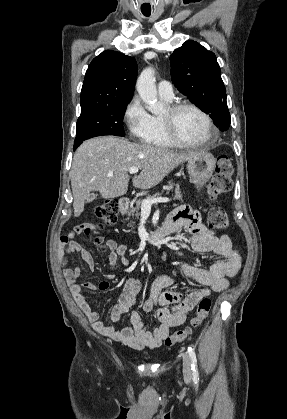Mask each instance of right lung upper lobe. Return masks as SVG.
Listing matches in <instances>:
<instances>
[{"label":"right lung upper lobe","instance_id":"cb5924a9","mask_svg":"<svg viewBox=\"0 0 287 419\" xmlns=\"http://www.w3.org/2000/svg\"><path fill=\"white\" fill-rule=\"evenodd\" d=\"M133 57L104 51L90 63L81 90V112L99 106L130 102L137 77Z\"/></svg>","mask_w":287,"mask_h":419}]
</instances>
